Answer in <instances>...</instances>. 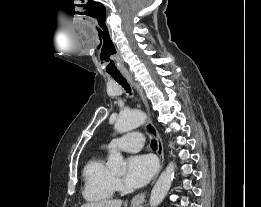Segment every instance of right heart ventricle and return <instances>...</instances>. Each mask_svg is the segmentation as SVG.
Here are the masks:
<instances>
[{"label":"right heart ventricle","mask_w":261,"mask_h":207,"mask_svg":"<svg viewBox=\"0 0 261 207\" xmlns=\"http://www.w3.org/2000/svg\"><path fill=\"white\" fill-rule=\"evenodd\" d=\"M83 179V196L87 201H106L113 197L116 179L103 156H95L86 163Z\"/></svg>","instance_id":"right-heart-ventricle-1"}]
</instances>
